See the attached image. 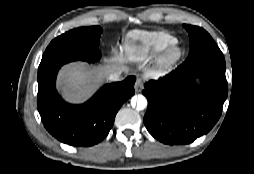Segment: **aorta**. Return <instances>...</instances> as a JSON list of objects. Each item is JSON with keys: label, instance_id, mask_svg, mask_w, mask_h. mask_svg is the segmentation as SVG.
I'll return each mask as SVG.
<instances>
[{"label": "aorta", "instance_id": "aorta-1", "mask_svg": "<svg viewBox=\"0 0 254 174\" xmlns=\"http://www.w3.org/2000/svg\"><path fill=\"white\" fill-rule=\"evenodd\" d=\"M131 104L136 106L137 110H143L147 107V99L143 95H138L132 98Z\"/></svg>", "mask_w": 254, "mask_h": 174}]
</instances>
